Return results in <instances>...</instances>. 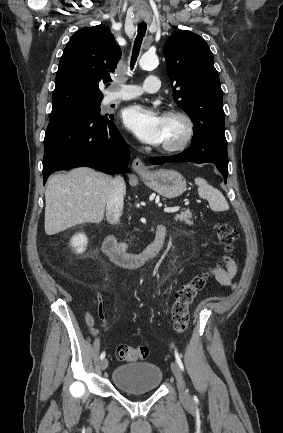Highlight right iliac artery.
<instances>
[{
    "label": "right iliac artery",
    "mask_w": 283,
    "mask_h": 433,
    "mask_svg": "<svg viewBox=\"0 0 283 433\" xmlns=\"http://www.w3.org/2000/svg\"><path fill=\"white\" fill-rule=\"evenodd\" d=\"M103 358H105V352H102L100 355V359L102 360Z\"/></svg>",
    "instance_id": "1"
}]
</instances>
